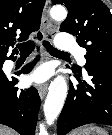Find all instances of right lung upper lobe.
Instances as JSON below:
<instances>
[{
    "label": "right lung upper lobe",
    "mask_w": 112,
    "mask_h": 135,
    "mask_svg": "<svg viewBox=\"0 0 112 135\" xmlns=\"http://www.w3.org/2000/svg\"><path fill=\"white\" fill-rule=\"evenodd\" d=\"M44 4L45 0H0V62L11 57L8 48L16 40L26 41L40 28Z\"/></svg>",
    "instance_id": "1"
}]
</instances>
